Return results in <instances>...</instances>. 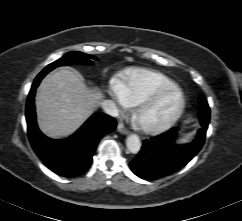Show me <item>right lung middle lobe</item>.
<instances>
[{
  "label": "right lung middle lobe",
  "mask_w": 242,
  "mask_h": 221,
  "mask_svg": "<svg viewBox=\"0 0 242 221\" xmlns=\"http://www.w3.org/2000/svg\"><path fill=\"white\" fill-rule=\"evenodd\" d=\"M89 58L96 59L95 57L82 52H78V51L69 52L62 58L58 59L57 61L49 64L39 75L45 76L48 72H50L51 70H53L58 66L78 64V63L90 64Z\"/></svg>",
  "instance_id": "obj_1"
}]
</instances>
